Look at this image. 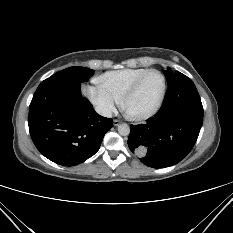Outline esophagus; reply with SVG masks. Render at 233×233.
Wrapping results in <instances>:
<instances>
[{
	"label": "esophagus",
	"instance_id": "esophagus-1",
	"mask_svg": "<svg viewBox=\"0 0 233 233\" xmlns=\"http://www.w3.org/2000/svg\"><path fill=\"white\" fill-rule=\"evenodd\" d=\"M120 123H121V121L118 120V119H114V120H113L114 126H118Z\"/></svg>",
	"mask_w": 233,
	"mask_h": 233
}]
</instances>
